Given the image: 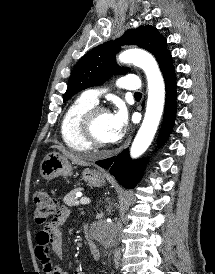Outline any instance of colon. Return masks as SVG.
I'll return each instance as SVG.
<instances>
[{"label":"colon","instance_id":"obj_1","mask_svg":"<svg viewBox=\"0 0 215 274\" xmlns=\"http://www.w3.org/2000/svg\"><path fill=\"white\" fill-rule=\"evenodd\" d=\"M34 218L36 223L44 224L55 214L56 200L46 190H39L34 195Z\"/></svg>","mask_w":215,"mask_h":274}]
</instances>
